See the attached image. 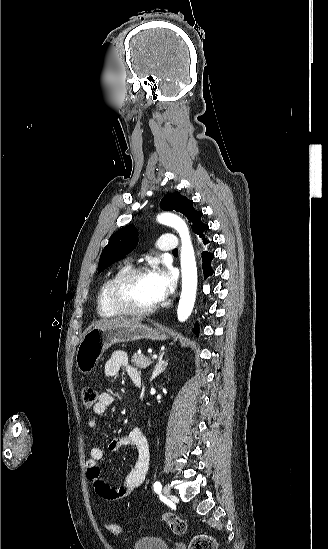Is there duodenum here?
Listing matches in <instances>:
<instances>
[{"mask_svg": "<svg viewBox=\"0 0 328 549\" xmlns=\"http://www.w3.org/2000/svg\"><path fill=\"white\" fill-rule=\"evenodd\" d=\"M134 383H135L136 386H138V387H141V386H142V381H141L140 376H136V377L134 378Z\"/></svg>", "mask_w": 328, "mask_h": 549, "instance_id": "duodenum-1", "label": "duodenum"}]
</instances>
